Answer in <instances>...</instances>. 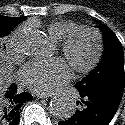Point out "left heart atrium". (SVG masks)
<instances>
[{
	"label": "left heart atrium",
	"instance_id": "obj_1",
	"mask_svg": "<svg viewBox=\"0 0 125 125\" xmlns=\"http://www.w3.org/2000/svg\"><path fill=\"white\" fill-rule=\"evenodd\" d=\"M70 78V67L62 59L33 61L26 64L20 72L21 83L39 94L55 91Z\"/></svg>",
	"mask_w": 125,
	"mask_h": 125
}]
</instances>
